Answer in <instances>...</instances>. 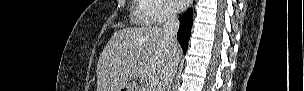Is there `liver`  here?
Masks as SVG:
<instances>
[{
    "mask_svg": "<svg viewBox=\"0 0 304 91\" xmlns=\"http://www.w3.org/2000/svg\"><path fill=\"white\" fill-rule=\"evenodd\" d=\"M180 60L168 36L159 27L126 28L115 32L97 64V90L121 91L137 77L158 78L173 59Z\"/></svg>",
    "mask_w": 304,
    "mask_h": 91,
    "instance_id": "liver-1",
    "label": "liver"
}]
</instances>
